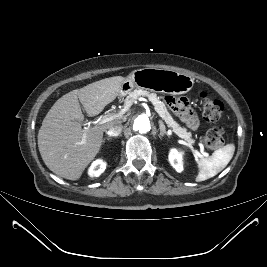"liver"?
I'll return each mask as SVG.
<instances>
[{
  "label": "liver",
  "mask_w": 267,
  "mask_h": 267,
  "mask_svg": "<svg viewBox=\"0 0 267 267\" xmlns=\"http://www.w3.org/2000/svg\"><path fill=\"white\" fill-rule=\"evenodd\" d=\"M125 79L115 76L93 82L70 91L54 103L38 132L41 157L53 173L69 180L81 177L99 152L103 133L122 120L117 118L84 130L80 124L84 120L80 103L88 116L98 115L116 99Z\"/></svg>",
  "instance_id": "liver-1"
}]
</instances>
